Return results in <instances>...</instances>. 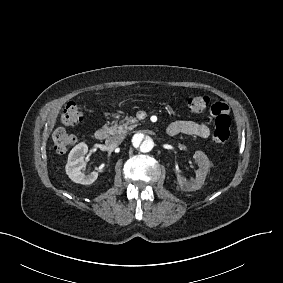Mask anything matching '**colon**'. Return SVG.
I'll return each mask as SVG.
<instances>
[{
  "mask_svg": "<svg viewBox=\"0 0 283 283\" xmlns=\"http://www.w3.org/2000/svg\"><path fill=\"white\" fill-rule=\"evenodd\" d=\"M209 99L203 94H195L188 98L187 107L191 114H201L208 106ZM217 104V103H216ZM83 119V114L80 108L75 104L67 105L61 114L60 123L65 126L78 125ZM231 118L226 114H219V117L214 121V131L212 135L213 143L222 148L230 136ZM55 149L60 152H66L75 143L74 136L64 129H57L52 134Z\"/></svg>",
  "mask_w": 283,
  "mask_h": 283,
  "instance_id": "colon-1",
  "label": "colon"
}]
</instances>
